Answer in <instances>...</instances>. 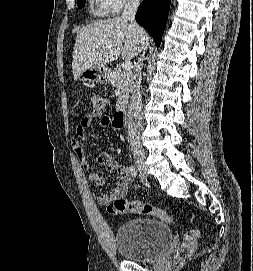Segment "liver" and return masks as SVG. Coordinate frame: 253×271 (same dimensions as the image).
I'll return each instance as SVG.
<instances>
[{
  "instance_id": "obj_1",
  "label": "liver",
  "mask_w": 253,
  "mask_h": 271,
  "mask_svg": "<svg viewBox=\"0 0 253 271\" xmlns=\"http://www.w3.org/2000/svg\"><path fill=\"white\" fill-rule=\"evenodd\" d=\"M138 28L142 35L132 23L120 17L82 27L77 33L74 45V80H77L84 70L103 66L118 59L121 54L124 60L136 57L149 45L150 39L142 28Z\"/></svg>"
}]
</instances>
